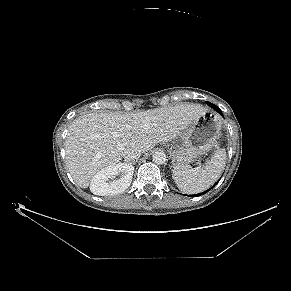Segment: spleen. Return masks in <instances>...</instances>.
Returning <instances> with one entry per match:
<instances>
[{"instance_id":"1","label":"spleen","mask_w":291,"mask_h":291,"mask_svg":"<svg viewBox=\"0 0 291 291\" xmlns=\"http://www.w3.org/2000/svg\"><path fill=\"white\" fill-rule=\"evenodd\" d=\"M226 162L225 149H218L203 168L189 165L175 166L173 179L179 190L185 194H197L210 188L221 176Z\"/></svg>"}]
</instances>
